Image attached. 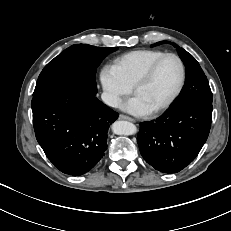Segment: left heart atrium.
Here are the masks:
<instances>
[{"label": "left heart atrium", "instance_id": "39dd6f15", "mask_svg": "<svg viewBox=\"0 0 231 231\" xmlns=\"http://www.w3.org/2000/svg\"><path fill=\"white\" fill-rule=\"evenodd\" d=\"M123 110L134 115H146L151 113V109L145 104V102L138 96L135 95L128 99L123 105Z\"/></svg>", "mask_w": 231, "mask_h": 231}]
</instances>
